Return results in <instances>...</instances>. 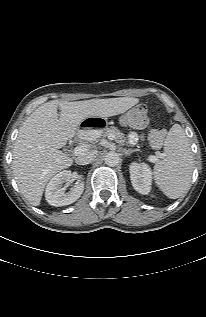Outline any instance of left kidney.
Wrapping results in <instances>:
<instances>
[{"instance_id": "left-kidney-1", "label": "left kidney", "mask_w": 206, "mask_h": 317, "mask_svg": "<svg viewBox=\"0 0 206 317\" xmlns=\"http://www.w3.org/2000/svg\"><path fill=\"white\" fill-rule=\"evenodd\" d=\"M130 180L134 189L145 195L151 190L152 173L149 166L145 163H131L130 167Z\"/></svg>"}]
</instances>
